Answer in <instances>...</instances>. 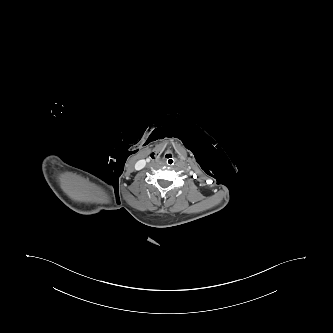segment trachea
<instances>
[{
	"label": "trachea",
	"instance_id": "trachea-1",
	"mask_svg": "<svg viewBox=\"0 0 333 333\" xmlns=\"http://www.w3.org/2000/svg\"><path fill=\"white\" fill-rule=\"evenodd\" d=\"M164 162L168 166H173L177 162V157L173 153H168L164 157Z\"/></svg>",
	"mask_w": 333,
	"mask_h": 333
}]
</instances>
